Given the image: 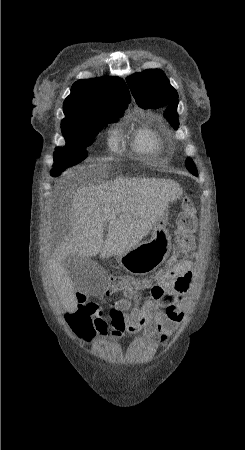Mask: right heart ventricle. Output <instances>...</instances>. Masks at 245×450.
Returning <instances> with one entry per match:
<instances>
[{
	"label": "right heart ventricle",
	"instance_id": "1",
	"mask_svg": "<svg viewBox=\"0 0 245 450\" xmlns=\"http://www.w3.org/2000/svg\"><path fill=\"white\" fill-rule=\"evenodd\" d=\"M134 149L140 153H151L159 149L157 135L149 129H141L133 142Z\"/></svg>",
	"mask_w": 245,
	"mask_h": 450
}]
</instances>
